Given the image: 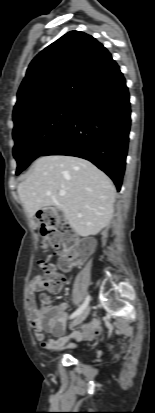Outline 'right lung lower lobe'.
<instances>
[{"mask_svg":"<svg viewBox=\"0 0 155 413\" xmlns=\"http://www.w3.org/2000/svg\"><path fill=\"white\" fill-rule=\"evenodd\" d=\"M126 81L120 69L80 101L63 133L40 156L87 159L104 171L119 191L131 125Z\"/></svg>","mask_w":155,"mask_h":413,"instance_id":"obj_1","label":"right lung lower lobe"}]
</instances>
